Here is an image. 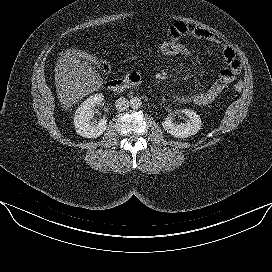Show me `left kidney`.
Masks as SVG:
<instances>
[{
	"label": "left kidney",
	"mask_w": 272,
	"mask_h": 272,
	"mask_svg": "<svg viewBox=\"0 0 272 272\" xmlns=\"http://www.w3.org/2000/svg\"><path fill=\"white\" fill-rule=\"evenodd\" d=\"M182 113L188 118L186 123L176 124L173 117L168 116L162 123L167 133L176 138H187L195 135L201 129V118L193 110L184 109Z\"/></svg>",
	"instance_id": "1"
}]
</instances>
